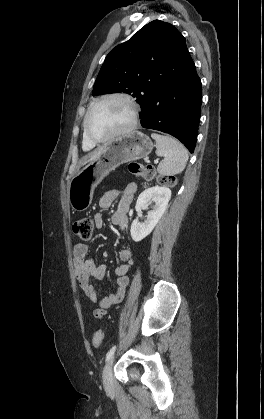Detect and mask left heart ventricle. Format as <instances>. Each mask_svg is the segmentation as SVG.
Masks as SVG:
<instances>
[{
  "mask_svg": "<svg viewBox=\"0 0 264 419\" xmlns=\"http://www.w3.org/2000/svg\"><path fill=\"white\" fill-rule=\"evenodd\" d=\"M130 120L131 109L127 102L119 98L108 99L92 110L88 128L92 136L103 138L123 129Z\"/></svg>",
  "mask_w": 264,
  "mask_h": 419,
  "instance_id": "b2bd125f",
  "label": "left heart ventricle"
}]
</instances>
